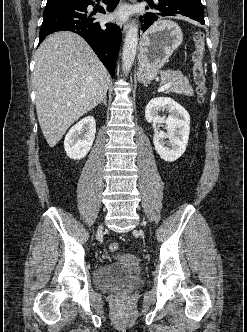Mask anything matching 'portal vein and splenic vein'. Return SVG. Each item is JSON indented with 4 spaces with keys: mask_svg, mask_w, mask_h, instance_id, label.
<instances>
[{
    "mask_svg": "<svg viewBox=\"0 0 247 332\" xmlns=\"http://www.w3.org/2000/svg\"><path fill=\"white\" fill-rule=\"evenodd\" d=\"M170 86H171V83H170V82H169V83H166V84L162 85V86L158 89V91H159V92H163V91L169 89Z\"/></svg>",
    "mask_w": 247,
    "mask_h": 332,
    "instance_id": "obj_1",
    "label": "portal vein and splenic vein"
}]
</instances>
